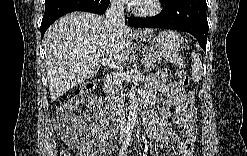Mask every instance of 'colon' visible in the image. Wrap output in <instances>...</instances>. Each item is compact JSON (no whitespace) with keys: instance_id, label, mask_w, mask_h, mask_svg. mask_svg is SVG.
<instances>
[{"instance_id":"5ec220e1","label":"colon","mask_w":247,"mask_h":156,"mask_svg":"<svg viewBox=\"0 0 247 156\" xmlns=\"http://www.w3.org/2000/svg\"><path fill=\"white\" fill-rule=\"evenodd\" d=\"M177 77H178L179 85L181 86L182 90L186 93L189 109L191 111H194L196 109L195 108V94H194V91L192 90L189 76L184 70L180 69L177 71ZM97 83H98V80L96 79L89 80L88 82L84 83L81 87L77 89V91L74 94V97L78 98L88 93L89 91H91L92 89L96 87ZM69 98H70L69 96H65L63 98V101H68ZM69 112L70 111L63 112L60 115L62 120L66 123H68L70 120L68 118ZM60 156H70V153L66 149L62 148L60 150Z\"/></svg>"}]
</instances>
